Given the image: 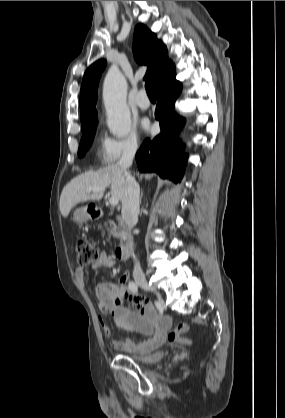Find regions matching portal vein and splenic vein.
I'll return each mask as SVG.
<instances>
[{
  "label": "portal vein and splenic vein",
  "instance_id": "portal-vein-and-splenic-vein-1",
  "mask_svg": "<svg viewBox=\"0 0 285 418\" xmlns=\"http://www.w3.org/2000/svg\"><path fill=\"white\" fill-rule=\"evenodd\" d=\"M106 187H94L87 189V192H98V191H105ZM111 206H116L119 203V200L116 197H111L109 199Z\"/></svg>",
  "mask_w": 285,
  "mask_h": 418
}]
</instances>
